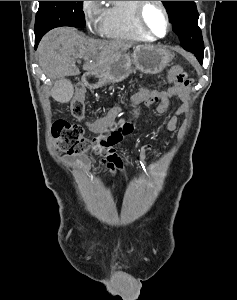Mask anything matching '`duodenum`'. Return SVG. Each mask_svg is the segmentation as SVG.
Returning a JSON list of instances; mask_svg holds the SVG:
<instances>
[{
  "mask_svg": "<svg viewBox=\"0 0 237 300\" xmlns=\"http://www.w3.org/2000/svg\"><path fill=\"white\" fill-rule=\"evenodd\" d=\"M84 82L87 86L94 88L99 84V73L97 71H89L84 75Z\"/></svg>",
  "mask_w": 237,
  "mask_h": 300,
  "instance_id": "410a0bca",
  "label": "duodenum"
}]
</instances>
